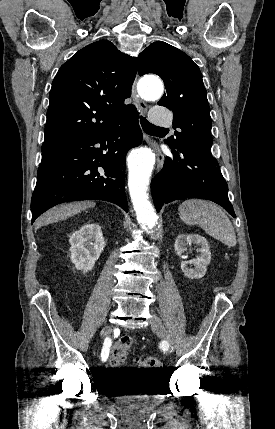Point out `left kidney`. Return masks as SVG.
Masks as SVG:
<instances>
[{
    "mask_svg": "<svg viewBox=\"0 0 275 429\" xmlns=\"http://www.w3.org/2000/svg\"><path fill=\"white\" fill-rule=\"evenodd\" d=\"M192 243L200 246L199 252L201 254L195 259L182 261L181 270L189 279H200L204 277L207 266L211 261V252L207 240L198 234H180L175 240L174 248L176 254L180 256L186 251L187 246Z\"/></svg>",
    "mask_w": 275,
    "mask_h": 429,
    "instance_id": "obj_1",
    "label": "left kidney"
}]
</instances>
